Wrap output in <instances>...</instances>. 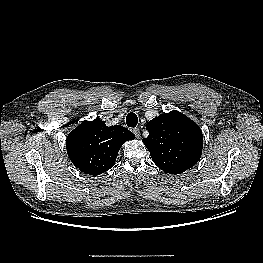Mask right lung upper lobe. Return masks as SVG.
<instances>
[{
    "label": "right lung upper lobe",
    "instance_id": "1",
    "mask_svg": "<svg viewBox=\"0 0 263 263\" xmlns=\"http://www.w3.org/2000/svg\"><path fill=\"white\" fill-rule=\"evenodd\" d=\"M95 124L96 122L93 121L84 130L82 156L81 159L77 157L82 170L89 174H95L108 168L114 155L118 152L121 142L127 137V134L120 130L112 131L113 129L102 128L103 131H101V128H96ZM78 156L80 157V155Z\"/></svg>",
    "mask_w": 263,
    "mask_h": 263
}]
</instances>
